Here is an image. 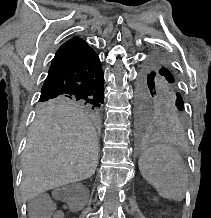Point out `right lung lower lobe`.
<instances>
[{
    "mask_svg": "<svg viewBox=\"0 0 211 218\" xmlns=\"http://www.w3.org/2000/svg\"><path fill=\"white\" fill-rule=\"evenodd\" d=\"M104 76L95 51L52 62L40 98L74 97L103 104Z\"/></svg>",
    "mask_w": 211,
    "mask_h": 218,
    "instance_id": "98d812e1",
    "label": "right lung lower lobe"
}]
</instances>
